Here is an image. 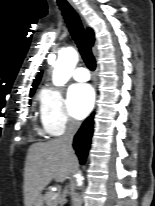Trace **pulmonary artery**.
I'll list each match as a JSON object with an SVG mask.
<instances>
[{"label": "pulmonary artery", "instance_id": "obj_1", "mask_svg": "<svg viewBox=\"0 0 155 206\" xmlns=\"http://www.w3.org/2000/svg\"><path fill=\"white\" fill-rule=\"evenodd\" d=\"M73 78L78 82H85L90 79V75L86 68L78 67L73 73Z\"/></svg>", "mask_w": 155, "mask_h": 206}]
</instances>
